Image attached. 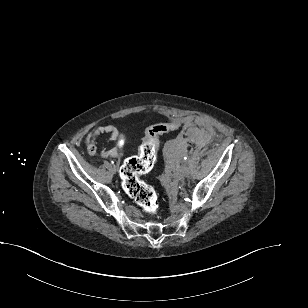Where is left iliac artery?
<instances>
[{"instance_id": "44dca946", "label": "left iliac artery", "mask_w": 308, "mask_h": 308, "mask_svg": "<svg viewBox=\"0 0 308 308\" xmlns=\"http://www.w3.org/2000/svg\"><path fill=\"white\" fill-rule=\"evenodd\" d=\"M184 160H187V156L184 157Z\"/></svg>"}]
</instances>
